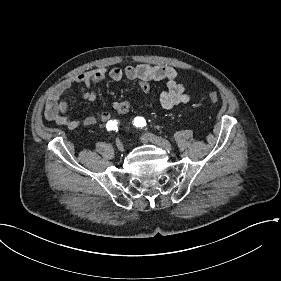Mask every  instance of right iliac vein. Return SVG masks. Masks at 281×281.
Here are the masks:
<instances>
[{
  "mask_svg": "<svg viewBox=\"0 0 281 281\" xmlns=\"http://www.w3.org/2000/svg\"><path fill=\"white\" fill-rule=\"evenodd\" d=\"M116 146H117V148H118L120 151H124V146H123V144H122V142H121L120 139H117V140H116Z\"/></svg>",
  "mask_w": 281,
  "mask_h": 281,
  "instance_id": "right-iliac-vein-1",
  "label": "right iliac vein"
}]
</instances>
